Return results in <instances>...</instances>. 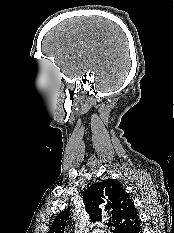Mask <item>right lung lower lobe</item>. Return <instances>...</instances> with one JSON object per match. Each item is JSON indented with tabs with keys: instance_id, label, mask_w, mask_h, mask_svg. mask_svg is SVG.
I'll return each instance as SVG.
<instances>
[{
	"instance_id": "98d812e1",
	"label": "right lung lower lobe",
	"mask_w": 174,
	"mask_h": 233,
	"mask_svg": "<svg viewBox=\"0 0 174 233\" xmlns=\"http://www.w3.org/2000/svg\"><path fill=\"white\" fill-rule=\"evenodd\" d=\"M129 233H142L140 225L134 228L133 230L129 231Z\"/></svg>"
}]
</instances>
